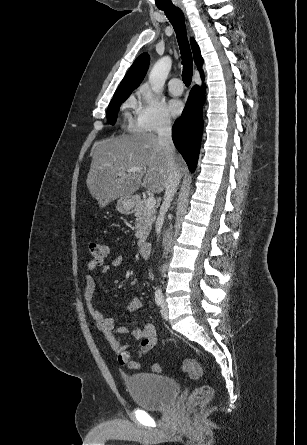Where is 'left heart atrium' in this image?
<instances>
[{"mask_svg": "<svg viewBox=\"0 0 307 445\" xmlns=\"http://www.w3.org/2000/svg\"><path fill=\"white\" fill-rule=\"evenodd\" d=\"M168 109L173 116H178L183 111V103L178 98H172L168 101Z\"/></svg>", "mask_w": 307, "mask_h": 445, "instance_id": "1", "label": "left heart atrium"}]
</instances>
